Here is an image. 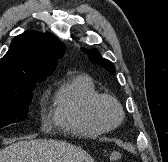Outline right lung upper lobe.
<instances>
[{
	"instance_id": "cb5924a9",
	"label": "right lung upper lobe",
	"mask_w": 168,
	"mask_h": 162,
	"mask_svg": "<svg viewBox=\"0 0 168 162\" xmlns=\"http://www.w3.org/2000/svg\"><path fill=\"white\" fill-rule=\"evenodd\" d=\"M64 44L54 35L28 31L16 36L0 61V90L24 81H43L64 54Z\"/></svg>"
}]
</instances>
